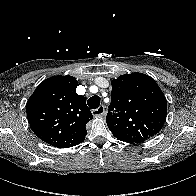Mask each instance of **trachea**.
<instances>
[{
    "label": "trachea",
    "instance_id": "trachea-1",
    "mask_svg": "<svg viewBox=\"0 0 196 196\" xmlns=\"http://www.w3.org/2000/svg\"><path fill=\"white\" fill-rule=\"evenodd\" d=\"M100 101H101L100 97L95 95V96L90 97L87 103L91 109H97L100 105Z\"/></svg>",
    "mask_w": 196,
    "mask_h": 196
}]
</instances>
